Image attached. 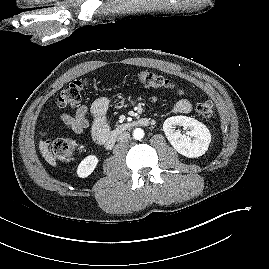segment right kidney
<instances>
[{"mask_svg":"<svg viewBox=\"0 0 269 269\" xmlns=\"http://www.w3.org/2000/svg\"><path fill=\"white\" fill-rule=\"evenodd\" d=\"M98 164V158L95 155H88L79 164L77 174L79 177L85 178L89 176Z\"/></svg>","mask_w":269,"mask_h":269,"instance_id":"1","label":"right kidney"}]
</instances>
